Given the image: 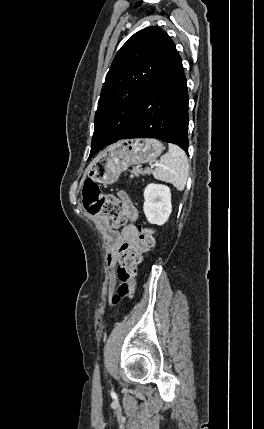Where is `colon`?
Listing matches in <instances>:
<instances>
[{
  "label": "colon",
  "instance_id": "1",
  "mask_svg": "<svg viewBox=\"0 0 264 429\" xmlns=\"http://www.w3.org/2000/svg\"><path fill=\"white\" fill-rule=\"evenodd\" d=\"M82 194L84 207L89 213L102 215L111 220L114 228L125 223L120 203L114 195L104 193L92 181L84 183ZM153 245L152 231L142 228L136 245L120 250L116 267L119 284L112 297L113 304L119 303L123 298L132 297L136 288L137 268L141 262L142 254L151 250Z\"/></svg>",
  "mask_w": 264,
  "mask_h": 429
}]
</instances>
